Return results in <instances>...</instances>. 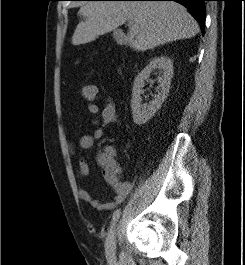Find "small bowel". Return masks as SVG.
<instances>
[{
    "label": "small bowel",
    "instance_id": "1",
    "mask_svg": "<svg viewBox=\"0 0 245 265\" xmlns=\"http://www.w3.org/2000/svg\"><path fill=\"white\" fill-rule=\"evenodd\" d=\"M89 113L96 116L93 120L95 130L92 133L85 134L79 139V149L81 152L89 151L93 148L94 143L100 140L106 129L117 121L118 113L115 102L109 98L105 106L100 111L98 105L89 103L87 106ZM71 156L75 154V145L70 143L68 146ZM116 149L111 146H105L97 155V162L102 168V173L105 181L112 187L114 197L110 201H100L92 196V194L84 189H79V197L81 200L90 204L97 210H112L120 205L132 191V184L126 180H120V164L116 158ZM77 173L80 177H85L89 174V165L86 159L81 156L78 163Z\"/></svg>",
    "mask_w": 245,
    "mask_h": 265
}]
</instances>
